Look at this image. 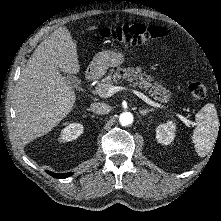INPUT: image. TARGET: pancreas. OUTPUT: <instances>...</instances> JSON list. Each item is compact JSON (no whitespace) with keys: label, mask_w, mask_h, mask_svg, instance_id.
Wrapping results in <instances>:
<instances>
[{"label":"pancreas","mask_w":221,"mask_h":221,"mask_svg":"<svg viewBox=\"0 0 221 221\" xmlns=\"http://www.w3.org/2000/svg\"><path fill=\"white\" fill-rule=\"evenodd\" d=\"M121 71L123 74H120ZM120 78L126 79L134 87L144 89L151 97L162 103L168 102L171 98L170 91L158 82H153V77L142 73L141 68H118L114 74L111 72L102 80V83L96 86L95 93L98 95L104 94L113 84L119 83Z\"/></svg>","instance_id":"obj_1"}]
</instances>
